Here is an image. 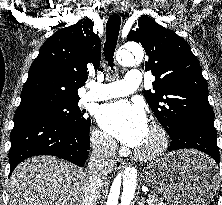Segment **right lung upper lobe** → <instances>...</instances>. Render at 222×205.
<instances>
[{"mask_svg":"<svg viewBox=\"0 0 222 205\" xmlns=\"http://www.w3.org/2000/svg\"><path fill=\"white\" fill-rule=\"evenodd\" d=\"M100 59L101 41L93 32L92 20L85 18L58 30L32 63L16 112L47 102L79 101L77 90L85 85L88 69H98Z\"/></svg>","mask_w":222,"mask_h":205,"instance_id":"right-lung-upper-lobe-1","label":"right lung upper lobe"}]
</instances>
